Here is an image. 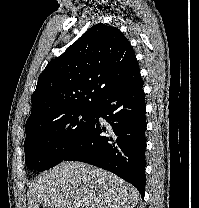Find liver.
I'll list each match as a JSON object with an SVG mask.
<instances>
[{"label": "liver", "instance_id": "liver-1", "mask_svg": "<svg viewBox=\"0 0 199 208\" xmlns=\"http://www.w3.org/2000/svg\"><path fill=\"white\" fill-rule=\"evenodd\" d=\"M138 191L118 176L82 162H62L43 172L28 191V208H134Z\"/></svg>", "mask_w": 199, "mask_h": 208}]
</instances>
